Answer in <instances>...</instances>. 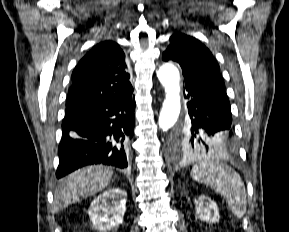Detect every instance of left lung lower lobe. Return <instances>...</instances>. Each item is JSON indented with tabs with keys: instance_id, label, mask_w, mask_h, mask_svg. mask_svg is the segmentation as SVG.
Here are the masks:
<instances>
[{
	"instance_id": "0a47b994",
	"label": "left lung lower lobe",
	"mask_w": 289,
	"mask_h": 232,
	"mask_svg": "<svg viewBox=\"0 0 289 232\" xmlns=\"http://www.w3.org/2000/svg\"><path fill=\"white\" fill-rule=\"evenodd\" d=\"M184 88L188 91L185 98L189 99L190 130L199 141L208 144L206 151L235 155L237 144L224 89L192 78H184Z\"/></svg>"
}]
</instances>
